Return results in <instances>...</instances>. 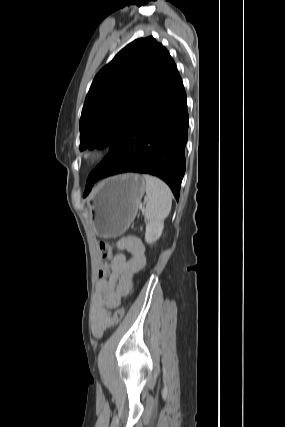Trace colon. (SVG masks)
Returning a JSON list of instances; mask_svg holds the SVG:
<instances>
[{"instance_id": "1", "label": "colon", "mask_w": 285, "mask_h": 427, "mask_svg": "<svg viewBox=\"0 0 285 427\" xmlns=\"http://www.w3.org/2000/svg\"><path fill=\"white\" fill-rule=\"evenodd\" d=\"M98 248L100 255L98 274L100 279L105 280V278L109 275V265L113 253V247L107 242H100ZM124 314L125 309L123 307L116 309L113 315L111 316L110 327H113L118 324L123 318Z\"/></svg>"}]
</instances>
